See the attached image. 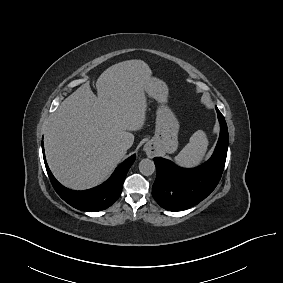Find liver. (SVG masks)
<instances>
[{
	"instance_id": "1",
	"label": "liver",
	"mask_w": 283,
	"mask_h": 283,
	"mask_svg": "<svg viewBox=\"0 0 283 283\" xmlns=\"http://www.w3.org/2000/svg\"><path fill=\"white\" fill-rule=\"evenodd\" d=\"M149 66L127 60L97 79L98 97L88 83L68 96L51 116L44 138L48 165L57 180L75 190L102 183L134 142L146 118L147 87L156 86Z\"/></svg>"
}]
</instances>
